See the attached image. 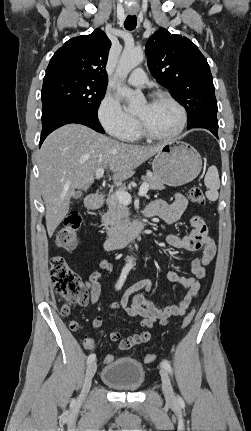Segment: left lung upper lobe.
Listing matches in <instances>:
<instances>
[{
    "label": "left lung upper lobe",
    "mask_w": 251,
    "mask_h": 431,
    "mask_svg": "<svg viewBox=\"0 0 251 431\" xmlns=\"http://www.w3.org/2000/svg\"><path fill=\"white\" fill-rule=\"evenodd\" d=\"M148 67L188 115L187 128L218 127L215 88L206 58L188 38L160 28L147 41Z\"/></svg>",
    "instance_id": "obj_1"
}]
</instances>
